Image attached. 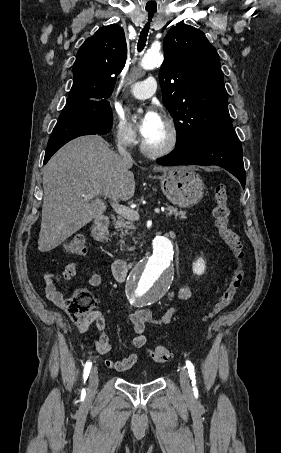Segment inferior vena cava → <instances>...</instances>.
I'll list each match as a JSON object with an SVG mask.
<instances>
[{
  "instance_id": "obj_1",
  "label": "inferior vena cava",
  "mask_w": 281,
  "mask_h": 453,
  "mask_svg": "<svg viewBox=\"0 0 281 453\" xmlns=\"http://www.w3.org/2000/svg\"><path fill=\"white\" fill-rule=\"evenodd\" d=\"M125 144H127V140H125L124 136H119V140H118V144H117L119 154H121V156H122L123 160H125V162H133L130 152H127V150L125 148Z\"/></svg>"
}]
</instances>
